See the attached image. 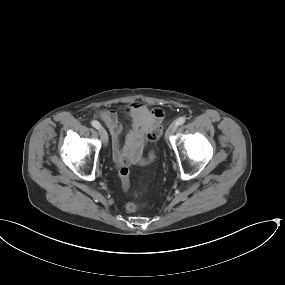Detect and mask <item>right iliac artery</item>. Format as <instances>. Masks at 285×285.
Segmentation results:
<instances>
[{"instance_id":"right-iliac-artery-1","label":"right iliac artery","mask_w":285,"mask_h":285,"mask_svg":"<svg viewBox=\"0 0 285 285\" xmlns=\"http://www.w3.org/2000/svg\"><path fill=\"white\" fill-rule=\"evenodd\" d=\"M91 125L93 127H95L96 129H98L101 126V124L98 121H96V120H92L91 121Z\"/></svg>"}]
</instances>
